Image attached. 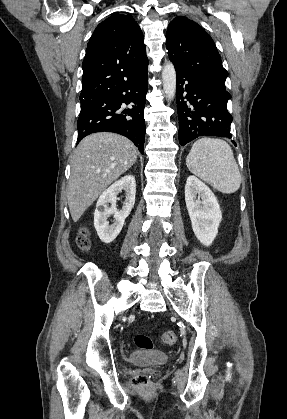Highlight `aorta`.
<instances>
[{"instance_id": "1", "label": "aorta", "mask_w": 287, "mask_h": 419, "mask_svg": "<svg viewBox=\"0 0 287 419\" xmlns=\"http://www.w3.org/2000/svg\"><path fill=\"white\" fill-rule=\"evenodd\" d=\"M163 92L171 101L176 93V71L172 63H166L162 70Z\"/></svg>"}]
</instances>
